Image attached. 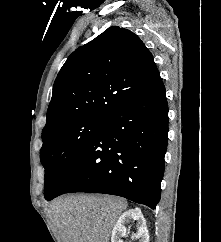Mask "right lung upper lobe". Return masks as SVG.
Listing matches in <instances>:
<instances>
[{"label":"right lung upper lobe","instance_id":"obj_1","mask_svg":"<svg viewBox=\"0 0 221 242\" xmlns=\"http://www.w3.org/2000/svg\"><path fill=\"white\" fill-rule=\"evenodd\" d=\"M157 76L153 56L141 39L127 29L110 27L76 49L62 66L42 132L81 118L105 117Z\"/></svg>","mask_w":221,"mask_h":242}]
</instances>
